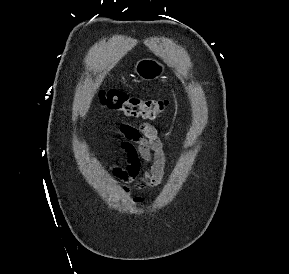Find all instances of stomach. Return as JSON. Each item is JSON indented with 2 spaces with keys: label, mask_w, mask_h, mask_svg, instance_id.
Instances as JSON below:
<instances>
[{
  "label": "stomach",
  "mask_w": 289,
  "mask_h": 274,
  "mask_svg": "<svg viewBox=\"0 0 289 274\" xmlns=\"http://www.w3.org/2000/svg\"><path fill=\"white\" fill-rule=\"evenodd\" d=\"M165 72V66L152 58H143L134 66V73L145 81H153L160 78Z\"/></svg>",
  "instance_id": "stomach-1"
}]
</instances>
